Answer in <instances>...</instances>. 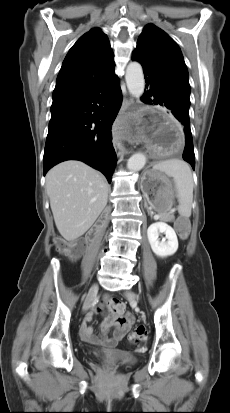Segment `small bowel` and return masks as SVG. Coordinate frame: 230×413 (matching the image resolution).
<instances>
[{
  "instance_id": "small-bowel-1",
  "label": "small bowel",
  "mask_w": 230,
  "mask_h": 413,
  "mask_svg": "<svg viewBox=\"0 0 230 413\" xmlns=\"http://www.w3.org/2000/svg\"><path fill=\"white\" fill-rule=\"evenodd\" d=\"M94 313V311L88 313L81 324L82 338L86 342L94 345L113 347L118 340L125 336L134 323V317L130 313H125L124 311L121 314L114 313L112 316L105 318L102 322V338H98L93 334L92 327L90 326ZM111 327L116 328L114 337L112 339H105L104 336Z\"/></svg>"
}]
</instances>
